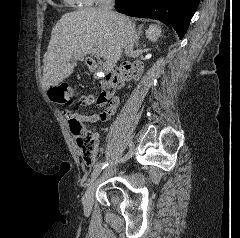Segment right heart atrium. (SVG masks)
<instances>
[{
	"label": "right heart atrium",
	"mask_w": 240,
	"mask_h": 238,
	"mask_svg": "<svg viewBox=\"0 0 240 238\" xmlns=\"http://www.w3.org/2000/svg\"><path fill=\"white\" fill-rule=\"evenodd\" d=\"M101 0H81V2L85 5H93Z\"/></svg>",
	"instance_id": "d8ad5b80"
}]
</instances>
